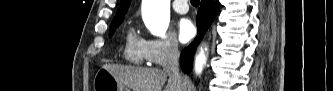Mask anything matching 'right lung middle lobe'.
Here are the masks:
<instances>
[{
	"label": "right lung middle lobe",
	"mask_w": 333,
	"mask_h": 91,
	"mask_svg": "<svg viewBox=\"0 0 333 91\" xmlns=\"http://www.w3.org/2000/svg\"><path fill=\"white\" fill-rule=\"evenodd\" d=\"M124 18H118V19H114L110 25V29H109V37H111L115 31V29L122 23Z\"/></svg>",
	"instance_id": "obj_1"
}]
</instances>
